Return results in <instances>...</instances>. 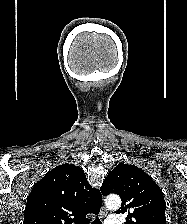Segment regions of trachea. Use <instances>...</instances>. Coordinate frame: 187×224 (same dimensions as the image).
<instances>
[{
	"mask_svg": "<svg viewBox=\"0 0 187 224\" xmlns=\"http://www.w3.org/2000/svg\"><path fill=\"white\" fill-rule=\"evenodd\" d=\"M93 224H101L100 219L99 218L95 219L94 222H93Z\"/></svg>",
	"mask_w": 187,
	"mask_h": 224,
	"instance_id": "1",
	"label": "trachea"
}]
</instances>
